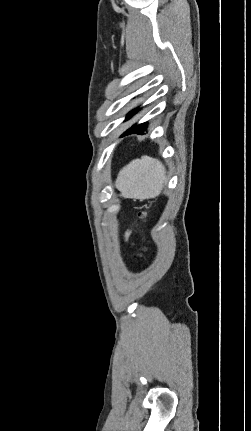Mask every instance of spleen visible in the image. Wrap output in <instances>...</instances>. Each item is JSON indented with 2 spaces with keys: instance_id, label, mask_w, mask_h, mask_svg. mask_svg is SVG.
<instances>
[{
  "instance_id": "3e777b00",
  "label": "spleen",
  "mask_w": 251,
  "mask_h": 431,
  "mask_svg": "<svg viewBox=\"0 0 251 431\" xmlns=\"http://www.w3.org/2000/svg\"><path fill=\"white\" fill-rule=\"evenodd\" d=\"M166 182V171L157 159L142 156L123 167L115 187L124 198L149 199L159 196Z\"/></svg>"
}]
</instances>
